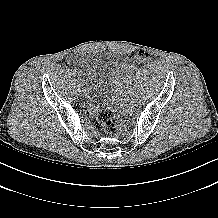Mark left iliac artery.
<instances>
[{
  "mask_svg": "<svg viewBox=\"0 0 218 218\" xmlns=\"http://www.w3.org/2000/svg\"><path fill=\"white\" fill-rule=\"evenodd\" d=\"M128 95H129V96H132V95H133V92H131L130 89H129Z\"/></svg>",
  "mask_w": 218,
  "mask_h": 218,
  "instance_id": "left-iliac-artery-1",
  "label": "left iliac artery"
}]
</instances>
